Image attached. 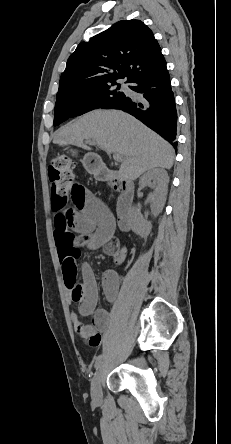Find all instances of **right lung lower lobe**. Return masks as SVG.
I'll list each match as a JSON object with an SVG mask.
<instances>
[{
	"label": "right lung lower lobe",
	"instance_id": "1",
	"mask_svg": "<svg viewBox=\"0 0 231 444\" xmlns=\"http://www.w3.org/2000/svg\"><path fill=\"white\" fill-rule=\"evenodd\" d=\"M130 89L142 95L140 100L128 96L110 108L130 113L156 131L177 149V111L171 90L170 76L165 68L132 82Z\"/></svg>",
	"mask_w": 231,
	"mask_h": 444
}]
</instances>
